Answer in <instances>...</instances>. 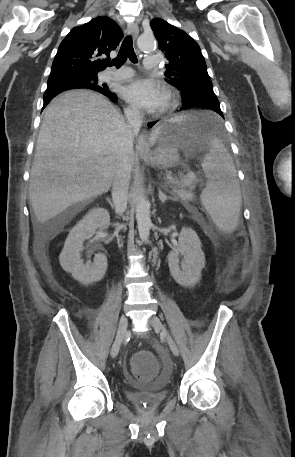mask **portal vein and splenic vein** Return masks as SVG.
<instances>
[{"instance_id":"18ae733b","label":"portal vein and splenic vein","mask_w":295,"mask_h":457,"mask_svg":"<svg viewBox=\"0 0 295 457\" xmlns=\"http://www.w3.org/2000/svg\"><path fill=\"white\" fill-rule=\"evenodd\" d=\"M196 181V175L193 171H189L184 179V183L194 182ZM173 180H169V183H173Z\"/></svg>"}]
</instances>
